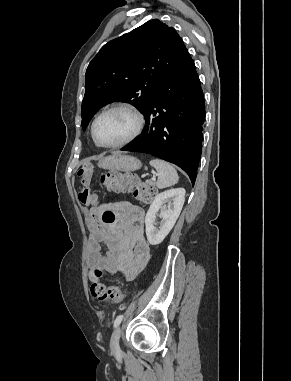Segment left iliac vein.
<instances>
[{
    "mask_svg": "<svg viewBox=\"0 0 291 381\" xmlns=\"http://www.w3.org/2000/svg\"><path fill=\"white\" fill-rule=\"evenodd\" d=\"M121 329L118 327L112 334L111 337V349L116 351L119 349V339H120Z\"/></svg>",
    "mask_w": 291,
    "mask_h": 381,
    "instance_id": "4c4485c4",
    "label": "left iliac vein"
}]
</instances>
